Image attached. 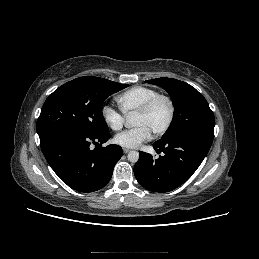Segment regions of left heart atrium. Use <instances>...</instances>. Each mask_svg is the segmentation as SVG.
Masks as SVG:
<instances>
[{
	"label": "left heart atrium",
	"instance_id": "1",
	"mask_svg": "<svg viewBox=\"0 0 259 259\" xmlns=\"http://www.w3.org/2000/svg\"><path fill=\"white\" fill-rule=\"evenodd\" d=\"M151 137L152 132L146 126L141 125L117 134L113 141L121 147L133 149L150 140Z\"/></svg>",
	"mask_w": 259,
	"mask_h": 259
}]
</instances>
